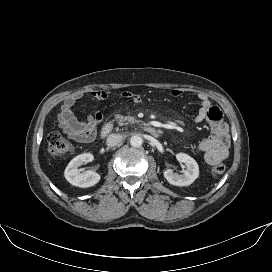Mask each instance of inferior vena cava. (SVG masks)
Returning <instances> with one entry per match:
<instances>
[{"label":"inferior vena cava","instance_id":"obj_1","mask_svg":"<svg viewBox=\"0 0 272 272\" xmlns=\"http://www.w3.org/2000/svg\"><path fill=\"white\" fill-rule=\"evenodd\" d=\"M122 140V136L119 134H110L107 137L106 143L109 147H114L118 145Z\"/></svg>","mask_w":272,"mask_h":272}]
</instances>
